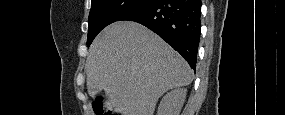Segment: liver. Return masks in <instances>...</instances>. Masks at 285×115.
<instances>
[{
	"mask_svg": "<svg viewBox=\"0 0 285 115\" xmlns=\"http://www.w3.org/2000/svg\"><path fill=\"white\" fill-rule=\"evenodd\" d=\"M85 69L89 95L105 91V107L121 115H153L165 92L193 80L184 58L132 21L112 23L95 38Z\"/></svg>",
	"mask_w": 285,
	"mask_h": 115,
	"instance_id": "6515ba94",
	"label": "liver"
}]
</instances>
